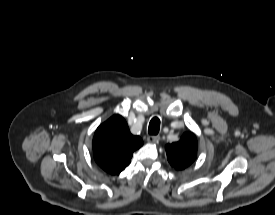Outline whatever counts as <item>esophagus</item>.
Segmentation results:
<instances>
[{
  "label": "esophagus",
  "instance_id": "obj_1",
  "mask_svg": "<svg viewBox=\"0 0 275 215\" xmlns=\"http://www.w3.org/2000/svg\"><path fill=\"white\" fill-rule=\"evenodd\" d=\"M160 140V136L159 135H152V136H148L147 137V141L149 143H157Z\"/></svg>",
  "mask_w": 275,
  "mask_h": 215
}]
</instances>
